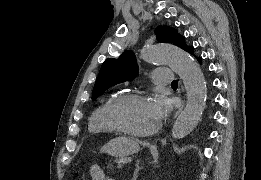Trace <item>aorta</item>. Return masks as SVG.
Segmentation results:
<instances>
[{
	"label": "aorta",
	"instance_id": "obj_1",
	"mask_svg": "<svg viewBox=\"0 0 261 180\" xmlns=\"http://www.w3.org/2000/svg\"><path fill=\"white\" fill-rule=\"evenodd\" d=\"M141 58L149 63L168 64L183 80L187 92V103L172 128V136L180 139L197 126L206 106V82L197 62L182 49L173 45L147 46Z\"/></svg>",
	"mask_w": 261,
	"mask_h": 180
}]
</instances>
